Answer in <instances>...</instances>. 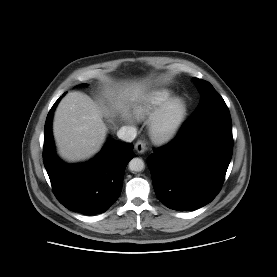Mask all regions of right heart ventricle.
<instances>
[{"instance_id": "1", "label": "right heart ventricle", "mask_w": 277, "mask_h": 277, "mask_svg": "<svg viewBox=\"0 0 277 277\" xmlns=\"http://www.w3.org/2000/svg\"><path fill=\"white\" fill-rule=\"evenodd\" d=\"M174 93L168 89H156L142 96L136 103L133 113L139 120L150 119Z\"/></svg>"}]
</instances>
